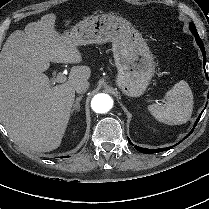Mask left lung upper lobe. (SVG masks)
<instances>
[{
	"label": "left lung upper lobe",
	"instance_id": "left-lung-upper-lobe-1",
	"mask_svg": "<svg viewBox=\"0 0 209 209\" xmlns=\"http://www.w3.org/2000/svg\"><path fill=\"white\" fill-rule=\"evenodd\" d=\"M189 28H190V31H191V32H197L194 23L191 22Z\"/></svg>",
	"mask_w": 209,
	"mask_h": 209
}]
</instances>
